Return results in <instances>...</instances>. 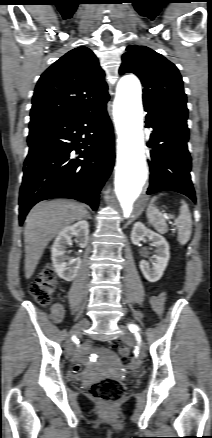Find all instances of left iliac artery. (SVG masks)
Returning a JSON list of instances; mask_svg holds the SVG:
<instances>
[{"label": "left iliac artery", "mask_w": 212, "mask_h": 438, "mask_svg": "<svg viewBox=\"0 0 212 438\" xmlns=\"http://www.w3.org/2000/svg\"><path fill=\"white\" fill-rule=\"evenodd\" d=\"M128 328H129V330H130L131 332H133V333H136L137 331L140 330L139 327H138L137 325H135V324H129V325H128Z\"/></svg>", "instance_id": "left-iliac-artery-1"}]
</instances>
